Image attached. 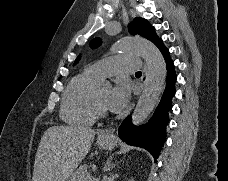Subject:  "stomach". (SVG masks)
<instances>
[{
	"label": "stomach",
	"instance_id": "1",
	"mask_svg": "<svg viewBox=\"0 0 228 181\" xmlns=\"http://www.w3.org/2000/svg\"><path fill=\"white\" fill-rule=\"evenodd\" d=\"M116 137H112V135H107V137H104L102 133H99L97 137V143L99 147H102V149H113L116 145Z\"/></svg>",
	"mask_w": 228,
	"mask_h": 181
}]
</instances>
